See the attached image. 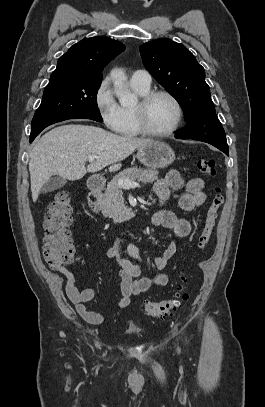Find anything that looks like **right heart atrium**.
Masks as SVG:
<instances>
[{
  "label": "right heart atrium",
  "instance_id": "right-heart-atrium-1",
  "mask_svg": "<svg viewBox=\"0 0 265 407\" xmlns=\"http://www.w3.org/2000/svg\"><path fill=\"white\" fill-rule=\"evenodd\" d=\"M94 104L103 124L110 130L118 128L120 123V106L113 95L110 83L104 80L94 93Z\"/></svg>",
  "mask_w": 265,
  "mask_h": 407
}]
</instances>
